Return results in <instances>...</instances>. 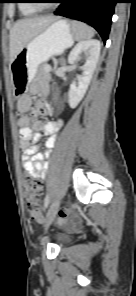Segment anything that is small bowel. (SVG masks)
<instances>
[{
    "instance_id": "c3829d8e",
    "label": "small bowel",
    "mask_w": 136,
    "mask_h": 296,
    "mask_svg": "<svg viewBox=\"0 0 136 296\" xmlns=\"http://www.w3.org/2000/svg\"><path fill=\"white\" fill-rule=\"evenodd\" d=\"M32 107V100L29 96H23L18 100L17 109L21 114L18 125L20 128V138L22 142V164L27 173L37 175L38 178L44 179L46 176L48 163L46 159L51 153L54 146L57 134L62 127V121L36 122L30 126L32 118L48 112L49 107L47 102L37 104L28 116L26 113ZM47 136L45 142L46 150L38 151L37 143L41 135ZM40 221V220H38Z\"/></svg>"
}]
</instances>
